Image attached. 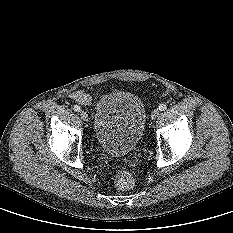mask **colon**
<instances>
[{"label":"colon","mask_w":233,"mask_h":233,"mask_svg":"<svg viewBox=\"0 0 233 233\" xmlns=\"http://www.w3.org/2000/svg\"><path fill=\"white\" fill-rule=\"evenodd\" d=\"M115 185L121 190H127L133 186L134 178L127 171H120L115 176Z\"/></svg>","instance_id":"5ec220e1"}]
</instances>
